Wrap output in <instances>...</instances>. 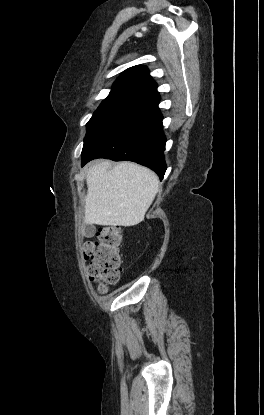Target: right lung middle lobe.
<instances>
[{
	"instance_id": "1",
	"label": "right lung middle lobe",
	"mask_w": 264,
	"mask_h": 415,
	"mask_svg": "<svg viewBox=\"0 0 264 415\" xmlns=\"http://www.w3.org/2000/svg\"><path fill=\"white\" fill-rule=\"evenodd\" d=\"M142 102L137 98L108 95L87 123L83 150L88 148L123 115Z\"/></svg>"
}]
</instances>
